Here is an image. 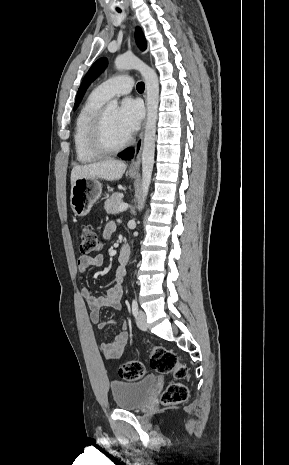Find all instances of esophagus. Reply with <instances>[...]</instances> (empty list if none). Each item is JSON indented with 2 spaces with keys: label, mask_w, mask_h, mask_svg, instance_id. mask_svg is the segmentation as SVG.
<instances>
[{
  "label": "esophagus",
  "mask_w": 289,
  "mask_h": 465,
  "mask_svg": "<svg viewBox=\"0 0 289 465\" xmlns=\"http://www.w3.org/2000/svg\"><path fill=\"white\" fill-rule=\"evenodd\" d=\"M145 98H146V95H145ZM144 128H145V122H144L142 130H141V132L139 134L138 140L134 145V154H133L131 163L129 165V170L130 171H139V169H140L141 151H142L143 138H144Z\"/></svg>",
  "instance_id": "1"
}]
</instances>
